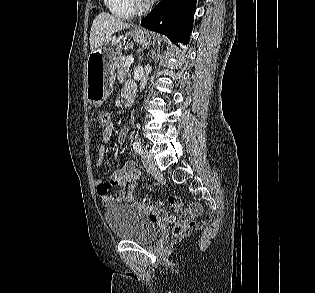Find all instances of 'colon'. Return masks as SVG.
<instances>
[{"label": "colon", "instance_id": "5ec220e1", "mask_svg": "<svg viewBox=\"0 0 315 293\" xmlns=\"http://www.w3.org/2000/svg\"><path fill=\"white\" fill-rule=\"evenodd\" d=\"M109 113L106 111H101L98 115V121L100 126L103 128L105 127L109 122ZM144 203H150L151 200L144 198L142 199ZM168 202L171 205L172 208H176L178 211H180L179 217H178V224L174 227V234L176 236L181 235L184 231H186L189 228H192L195 225L194 220L192 217L198 213L199 207L197 205H192L188 207L185 210H181L182 202L181 199L175 195H170L168 198Z\"/></svg>", "mask_w": 315, "mask_h": 293}]
</instances>
